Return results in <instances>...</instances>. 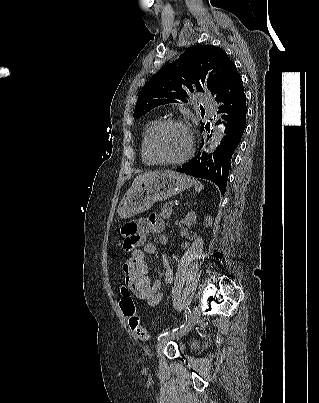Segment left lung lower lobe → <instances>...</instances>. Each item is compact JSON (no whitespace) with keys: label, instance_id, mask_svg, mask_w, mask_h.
I'll list each match as a JSON object with an SVG mask.
<instances>
[{"label":"left lung lower lobe","instance_id":"left-lung-lower-lobe-1","mask_svg":"<svg viewBox=\"0 0 319 403\" xmlns=\"http://www.w3.org/2000/svg\"><path fill=\"white\" fill-rule=\"evenodd\" d=\"M215 101L222 103L219 106V113H226V115L222 116L226 121V123L223 122L226 127V135L221 140V144L217 147L213 156L202 154L200 158L199 153L188 163L183 164L179 172L211 180L218 185L221 193L224 194L231 167V158L241 141L247 113L243 82L234 64L226 72L215 95ZM218 123L220 121L216 124ZM201 128L209 131L207 125L204 126L203 124Z\"/></svg>","mask_w":319,"mask_h":403}]
</instances>
